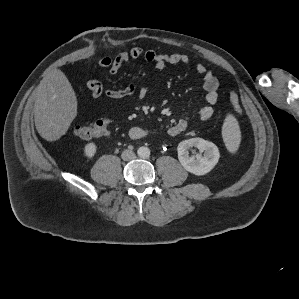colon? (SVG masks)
I'll use <instances>...</instances> for the list:
<instances>
[{"label":"colon","mask_w":299,"mask_h":299,"mask_svg":"<svg viewBox=\"0 0 299 299\" xmlns=\"http://www.w3.org/2000/svg\"><path fill=\"white\" fill-rule=\"evenodd\" d=\"M229 98L233 111L237 115H241L242 109L238 94L232 91L230 92ZM108 128L109 120L102 118L90 124L76 126L74 128V134L82 139H92L106 135Z\"/></svg>","instance_id":"1"}]
</instances>
